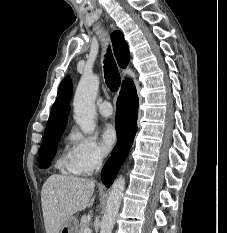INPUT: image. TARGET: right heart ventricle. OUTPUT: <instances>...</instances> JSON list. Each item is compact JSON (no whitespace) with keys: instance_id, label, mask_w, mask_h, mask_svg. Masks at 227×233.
I'll return each instance as SVG.
<instances>
[{"instance_id":"right-heart-ventricle-1","label":"right heart ventricle","mask_w":227,"mask_h":233,"mask_svg":"<svg viewBox=\"0 0 227 233\" xmlns=\"http://www.w3.org/2000/svg\"><path fill=\"white\" fill-rule=\"evenodd\" d=\"M59 166L66 168L68 171H70L71 173H73L70 168H69V162L67 157L63 158L62 160L59 161Z\"/></svg>"}]
</instances>
